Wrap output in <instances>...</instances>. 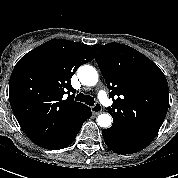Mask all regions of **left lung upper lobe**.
Segmentation results:
<instances>
[{
    "label": "left lung upper lobe",
    "mask_w": 178,
    "mask_h": 178,
    "mask_svg": "<svg viewBox=\"0 0 178 178\" xmlns=\"http://www.w3.org/2000/svg\"><path fill=\"white\" fill-rule=\"evenodd\" d=\"M109 96L116 100L108 113L112 127L151 143L169 106V88L159 67L134 48L120 44L93 45Z\"/></svg>",
    "instance_id": "5c2ea615"
}]
</instances>
